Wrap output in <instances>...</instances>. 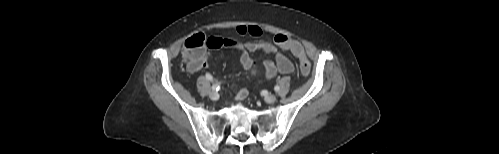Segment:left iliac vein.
Masks as SVG:
<instances>
[{
    "mask_svg": "<svg viewBox=\"0 0 499 154\" xmlns=\"http://www.w3.org/2000/svg\"><path fill=\"white\" fill-rule=\"evenodd\" d=\"M276 99H277L276 95L269 94V95L265 96L264 101L266 103H270L271 104V103H274L276 101Z\"/></svg>",
    "mask_w": 499,
    "mask_h": 154,
    "instance_id": "4c4485c4",
    "label": "left iliac vein"
}]
</instances>
